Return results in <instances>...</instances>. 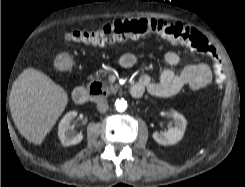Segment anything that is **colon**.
I'll use <instances>...</instances> for the list:
<instances>
[{"instance_id":"obj_1","label":"colon","mask_w":245,"mask_h":187,"mask_svg":"<svg viewBox=\"0 0 245 187\" xmlns=\"http://www.w3.org/2000/svg\"><path fill=\"white\" fill-rule=\"evenodd\" d=\"M146 34H155L168 41L186 46L211 58L221 80L216 49L199 31L181 23H169L156 19H118L94 30H74L66 33L62 43H83L91 46H105L127 39H137Z\"/></svg>"}]
</instances>
